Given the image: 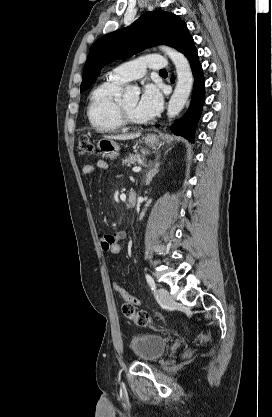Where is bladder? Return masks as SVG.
Instances as JSON below:
<instances>
[{"instance_id":"1","label":"bladder","mask_w":272,"mask_h":417,"mask_svg":"<svg viewBox=\"0 0 272 417\" xmlns=\"http://www.w3.org/2000/svg\"><path fill=\"white\" fill-rule=\"evenodd\" d=\"M129 346L138 360L153 362L163 355L167 340L159 335L138 334L131 338Z\"/></svg>"}]
</instances>
